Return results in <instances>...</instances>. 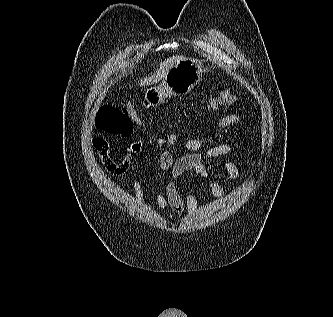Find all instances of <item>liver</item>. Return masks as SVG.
<instances>
[{
    "instance_id": "liver-1",
    "label": "liver",
    "mask_w": 333,
    "mask_h": 317,
    "mask_svg": "<svg viewBox=\"0 0 333 317\" xmlns=\"http://www.w3.org/2000/svg\"><path fill=\"white\" fill-rule=\"evenodd\" d=\"M185 59L186 58L181 55L172 56V57L166 59L165 61H163V63L160 64V67L157 70L156 75H154L148 79L147 78L144 79L143 81H141V85L150 84V83L161 80L162 78H164L167 75V73L173 66H175L176 64H178L179 62H181Z\"/></svg>"
}]
</instances>
